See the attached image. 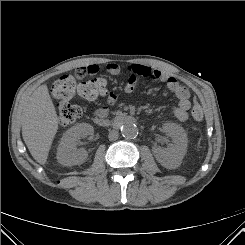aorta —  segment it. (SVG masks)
<instances>
[{
  "label": "aorta",
  "instance_id": "aorta-1",
  "mask_svg": "<svg viewBox=\"0 0 245 245\" xmlns=\"http://www.w3.org/2000/svg\"><path fill=\"white\" fill-rule=\"evenodd\" d=\"M122 136L127 139L135 138L138 135V128L134 124H124L121 127Z\"/></svg>",
  "mask_w": 245,
  "mask_h": 245
}]
</instances>
